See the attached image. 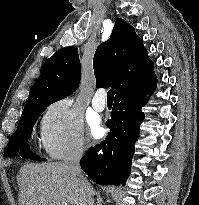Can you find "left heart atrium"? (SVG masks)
<instances>
[{"label": "left heart atrium", "instance_id": "obj_1", "mask_svg": "<svg viewBox=\"0 0 199 205\" xmlns=\"http://www.w3.org/2000/svg\"><path fill=\"white\" fill-rule=\"evenodd\" d=\"M92 134L94 137L99 138L103 134V129L101 127H99L98 125H95L93 127Z\"/></svg>", "mask_w": 199, "mask_h": 205}]
</instances>
